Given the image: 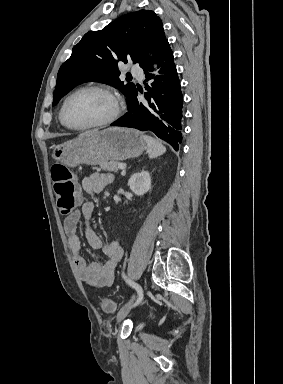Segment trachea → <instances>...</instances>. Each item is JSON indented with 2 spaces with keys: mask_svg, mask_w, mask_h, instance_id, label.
Instances as JSON below:
<instances>
[{
  "mask_svg": "<svg viewBox=\"0 0 283 384\" xmlns=\"http://www.w3.org/2000/svg\"><path fill=\"white\" fill-rule=\"evenodd\" d=\"M126 77H127V78H132V76H131V75H127Z\"/></svg>",
  "mask_w": 283,
  "mask_h": 384,
  "instance_id": "3493384b",
  "label": "trachea"
}]
</instances>
